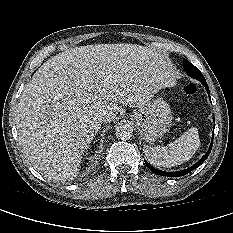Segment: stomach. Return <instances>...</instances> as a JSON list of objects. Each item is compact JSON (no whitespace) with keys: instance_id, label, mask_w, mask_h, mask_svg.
I'll list each match as a JSON object with an SVG mask.
<instances>
[{"instance_id":"1","label":"stomach","mask_w":233,"mask_h":233,"mask_svg":"<svg viewBox=\"0 0 233 233\" xmlns=\"http://www.w3.org/2000/svg\"><path fill=\"white\" fill-rule=\"evenodd\" d=\"M131 118L148 143L156 141L168 132L173 119L168 103L162 98L148 102L144 107L135 111Z\"/></svg>"}]
</instances>
